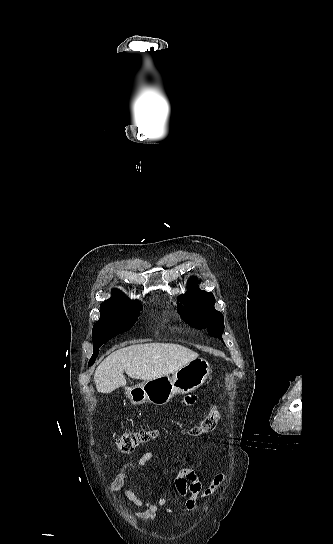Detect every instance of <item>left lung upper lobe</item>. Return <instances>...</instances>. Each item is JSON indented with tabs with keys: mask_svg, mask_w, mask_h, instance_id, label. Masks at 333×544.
<instances>
[{
	"mask_svg": "<svg viewBox=\"0 0 333 544\" xmlns=\"http://www.w3.org/2000/svg\"><path fill=\"white\" fill-rule=\"evenodd\" d=\"M189 290L178 300L183 299L184 307L179 306L182 318L197 329L207 328L212 336L222 340L224 318L214 308L215 298L212 293L197 289L198 279L193 277L188 282Z\"/></svg>",
	"mask_w": 333,
	"mask_h": 544,
	"instance_id": "obj_1",
	"label": "left lung upper lobe"
}]
</instances>
